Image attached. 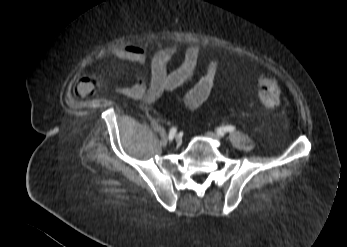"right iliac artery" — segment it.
<instances>
[{"mask_svg":"<svg viewBox=\"0 0 347 247\" xmlns=\"http://www.w3.org/2000/svg\"><path fill=\"white\" fill-rule=\"evenodd\" d=\"M176 131H177V130H176L175 127H173V128L170 129L169 136H168V138H169L170 141L174 138V136H175V134H176Z\"/></svg>","mask_w":347,"mask_h":247,"instance_id":"1","label":"right iliac artery"}]
</instances>
